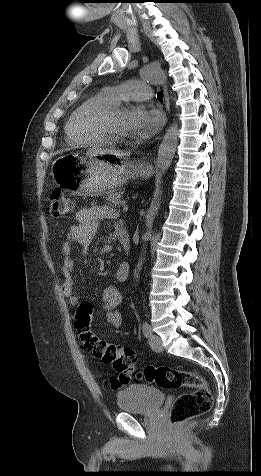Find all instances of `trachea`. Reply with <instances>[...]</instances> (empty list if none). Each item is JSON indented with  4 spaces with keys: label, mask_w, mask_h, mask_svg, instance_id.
Listing matches in <instances>:
<instances>
[{
    "label": "trachea",
    "mask_w": 261,
    "mask_h": 476,
    "mask_svg": "<svg viewBox=\"0 0 261 476\" xmlns=\"http://www.w3.org/2000/svg\"><path fill=\"white\" fill-rule=\"evenodd\" d=\"M157 98H158L159 101H163V93H161V92L158 93Z\"/></svg>",
    "instance_id": "3493384b"
}]
</instances>
